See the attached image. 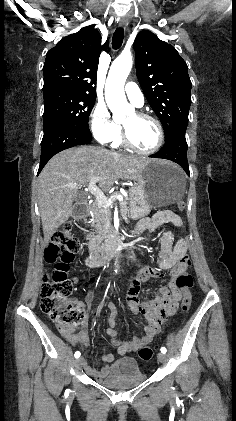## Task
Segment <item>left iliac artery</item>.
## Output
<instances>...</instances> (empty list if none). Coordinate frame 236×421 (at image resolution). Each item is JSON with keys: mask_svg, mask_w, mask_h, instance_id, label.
Returning <instances> with one entry per match:
<instances>
[{"mask_svg": "<svg viewBox=\"0 0 236 421\" xmlns=\"http://www.w3.org/2000/svg\"><path fill=\"white\" fill-rule=\"evenodd\" d=\"M160 350H161V352H162V353H164V354L167 352V350H166V348H165V347H162Z\"/></svg>", "mask_w": 236, "mask_h": 421, "instance_id": "44dca946", "label": "left iliac artery"}]
</instances>
